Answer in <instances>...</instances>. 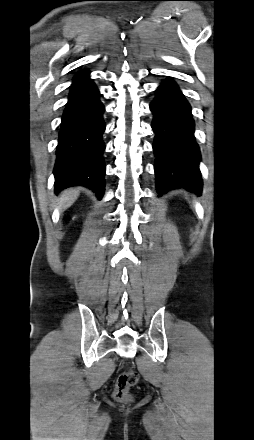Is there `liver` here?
I'll return each mask as SVG.
<instances>
[{
    "label": "liver",
    "mask_w": 254,
    "mask_h": 440,
    "mask_svg": "<svg viewBox=\"0 0 254 440\" xmlns=\"http://www.w3.org/2000/svg\"><path fill=\"white\" fill-rule=\"evenodd\" d=\"M79 196L78 188H70L63 191L58 199V205L63 209L70 207Z\"/></svg>",
    "instance_id": "obj_1"
}]
</instances>
